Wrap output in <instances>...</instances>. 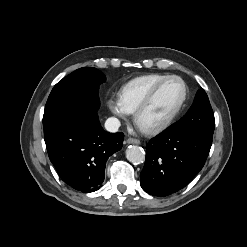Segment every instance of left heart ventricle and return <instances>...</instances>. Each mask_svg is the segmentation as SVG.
<instances>
[{
    "label": "left heart ventricle",
    "instance_id": "1",
    "mask_svg": "<svg viewBox=\"0 0 247 247\" xmlns=\"http://www.w3.org/2000/svg\"><path fill=\"white\" fill-rule=\"evenodd\" d=\"M184 93L179 80L165 83L155 96L153 102L141 117V125L149 127L165 120L178 106Z\"/></svg>",
    "mask_w": 247,
    "mask_h": 247
}]
</instances>
